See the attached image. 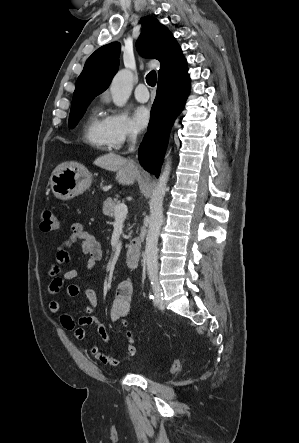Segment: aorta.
Listing matches in <instances>:
<instances>
[{
    "label": "aorta",
    "instance_id": "762f6f07",
    "mask_svg": "<svg viewBox=\"0 0 299 443\" xmlns=\"http://www.w3.org/2000/svg\"><path fill=\"white\" fill-rule=\"evenodd\" d=\"M132 88L133 74L125 69L120 70L114 76L110 85V93L114 104L123 107L131 95ZM170 170L171 160L167 155L165 167L149 201L150 220L145 245V260L149 274H156L158 270V238L163 223V200L167 190Z\"/></svg>",
    "mask_w": 299,
    "mask_h": 443
}]
</instances>
